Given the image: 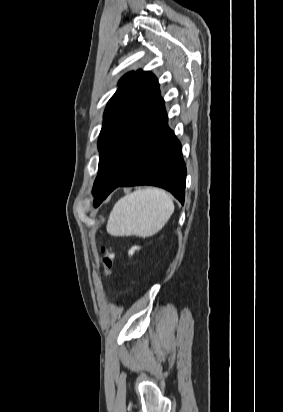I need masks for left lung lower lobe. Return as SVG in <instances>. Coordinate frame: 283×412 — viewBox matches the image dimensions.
<instances>
[{"instance_id":"0a47b994","label":"left lung lower lobe","mask_w":283,"mask_h":412,"mask_svg":"<svg viewBox=\"0 0 283 412\" xmlns=\"http://www.w3.org/2000/svg\"><path fill=\"white\" fill-rule=\"evenodd\" d=\"M131 159L116 158L105 151L100 154L96 181L100 193L94 199L97 207L119 186L153 185L171 192L182 204L185 198L186 166L181 144L167 125V116L156 126L151 142L137 166L132 169Z\"/></svg>"}]
</instances>
